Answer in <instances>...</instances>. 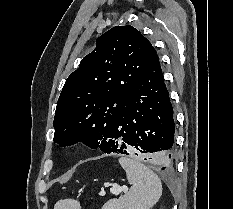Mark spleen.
<instances>
[{
	"instance_id": "obj_1",
	"label": "spleen",
	"mask_w": 233,
	"mask_h": 209,
	"mask_svg": "<svg viewBox=\"0 0 233 209\" xmlns=\"http://www.w3.org/2000/svg\"><path fill=\"white\" fill-rule=\"evenodd\" d=\"M118 161L126 172L131 188L119 199L108 201L102 209H150L162 195L160 178L137 160L121 157ZM54 209H80V205L76 200L65 199L58 201Z\"/></svg>"
}]
</instances>
